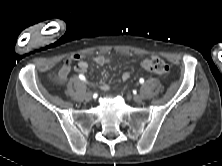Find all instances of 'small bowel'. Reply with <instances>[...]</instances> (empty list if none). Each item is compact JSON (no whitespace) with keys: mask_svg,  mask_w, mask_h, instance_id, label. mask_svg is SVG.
<instances>
[{"mask_svg":"<svg viewBox=\"0 0 222 166\" xmlns=\"http://www.w3.org/2000/svg\"><path fill=\"white\" fill-rule=\"evenodd\" d=\"M92 60L95 64L99 66L106 65L110 62V59L103 55H97ZM73 65H74V69L79 73L85 74L88 71V63L82 58V56L73 55L65 60L63 66L60 69V75L63 78H65L70 72ZM129 78H130V72L128 71L124 72L121 76L122 81H127ZM102 90L108 91L109 85L104 84L102 86Z\"/></svg>","mask_w":222,"mask_h":166,"instance_id":"c3829d8e","label":"small bowel"}]
</instances>
